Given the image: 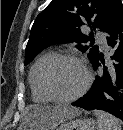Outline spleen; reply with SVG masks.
Segmentation results:
<instances>
[{
  "label": "spleen",
  "mask_w": 123,
  "mask_h": 130,
  "mask_svg": "<svg viewBox=\"0 0 123 130\" xmlns=\"http://www.w3.org/2000/svg\"><path fill=\"white\" fill-rule=\"evenodd\" d=\"M94 114L97 117V130H121L119 120L113 115L100 110H95Z\"/></svg>",
  "instance_id": "spleen-1"
}]
</instances>
